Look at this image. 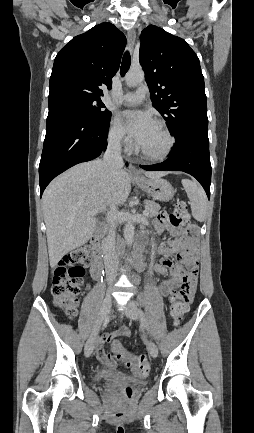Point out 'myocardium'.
<instances>
[{"label":"myocardium","instance_id":"obj_1","mask_svg":"<svg viewBox=\"0 0 254 433\" xmlns=\"http://www.w3.org/2000/svg\"><path fill=\"white\" fill-rule=\"evenodd\" d=\"M154 124H156L166 136L167 138L166 148L161 153L158 154H151L145 151L144 149H142L140 146H138L137 149L144 159L149 161H161L167 158L173 151L175 146V138L171 133V131L169 130V128L167 127V125L163 121L156 120Z\"/></svg>","mask_w":254,"mask_h":433}]
</instances>
